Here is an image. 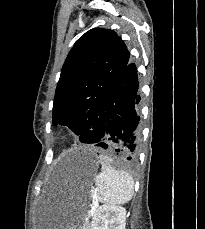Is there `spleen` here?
<instances>
[{
  "instance_id": "obj_1",
  "label": "spleen",
  "mask_w": 205,
  "mask_h": 229,
  "mask_svg": "<svg viewBox=\"0 0 205 229\" xmlns=\"http://www.w3.org/2000/svg\"><path fill=\"white\" fill-rule=\"evenodd\" d=\"M99 162L102 170L95 178L94 197L102 203L111 205L127 203L134 192L132 176L125 171L115 170L107 156L100 155Z\"/></svg>"
}]
</instances>
